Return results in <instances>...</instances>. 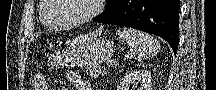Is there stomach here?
Wrapping results in <instances>:
<instances>
[{
  "label": "stomach",
  "mask_w": 216,
  "mask_h": 90,
  "mask_svg": "<svg viewBox=\"0 0 216 90\" xmlns=\"http://www.w3.org/2000/svg\"><path fill=\"white\" fill-rule=\"evenodd\" d=\"M114 50L115 46L112 41L105 39H93L74 50L53 56L51 64L56 67L94 66L110 59L114 53Z\"/></svg>",
  "instance_id": "stomach-1"
}]
</instances>
